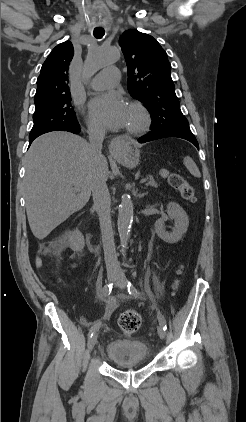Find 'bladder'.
<instances>
[{
	"mask_svg": "<svg viewBox=\"0 0 246 422\" xmlns=\"http://www.w3.org/2000/svg\"><path fill=\"white\" fill-rule=\"evenodd\" d=\"M107 358L119 367L143 365L148 359L145 343L128 338L112 339L106 345Z\"/></svg>",
	"mask_w": 246,
	"mask_h": 422,
	"instance_id": "31cf9c89",
	"label": "bladder"
}]
</instances>
